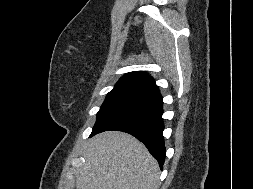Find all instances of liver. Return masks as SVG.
<instances>
[{"label":"liver","instance_id":"liver-1","mask_svg":"<svg viewBox=\"0 0 253 189\" xmlns=\"http://www.w3.org/2000/svg\"><path fill=\"white\" fill-rule=\"evenodd\" d=\"M77 189H158L157 161L135 137L109 131L93 137L84 151Z\"/></svg>","mask_w":253,"mask_h":189}]
</instances>
